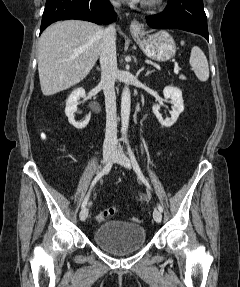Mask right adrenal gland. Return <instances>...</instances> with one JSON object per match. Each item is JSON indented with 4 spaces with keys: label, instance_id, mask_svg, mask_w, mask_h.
Wrapping results in <instances>:
<instances>
[{
    "label": "right adrenal gland",
    "instance_id": "obj_1",
    "mask_svg": "<svg viewBox=\"0 0 240 287\" xmlns=\"http://www.w3.org/2000/svg\"><path fill=\"white\" fill-rule=\"evenodd\" d=\"M97 70H99V71H100V68H99V67H97Z\"/></svg>",
    "mask_w": 240,
    "mask_h": 287
}]
</instances>
